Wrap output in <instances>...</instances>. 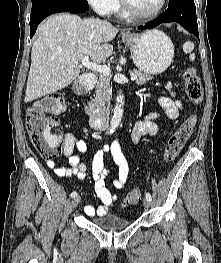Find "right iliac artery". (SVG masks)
Here are the masks:
<instances>
[{
  "label": "right iliac artery",
  "instance_id": "right-iliac-artery-1",
  "mask_svg": "<svg viewBox=\"0 0 221 263\" xmlns=\"http://www.w3.org/2000/svg\"><path fill=\"white\" fill-rule=\"evenodd\" d=\"M70 196L73 198V197H76L77 196V192L76 191H73Z\"/></svg>",
  "mask_w": 221,
  "mask_h": 263
}]
</instances>
